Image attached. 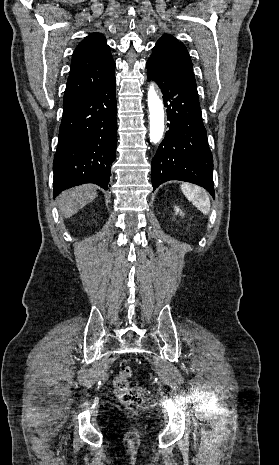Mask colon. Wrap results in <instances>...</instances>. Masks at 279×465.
<instances>
[{
	"label": "colon",
	"mask_w": 279,
	"mask_h": 465,
	"mask_svg": "<svg viewBox=\"0 0 279 465\" xmlns=\"http://www.w3.org/2000/svg\"><path fill=\"white\" fill-rule=\"evenodd\" d=\"M132 376L131 368L122 364L118 376L114 379V389L120 402L130 410H136L143 404V398L139 388L130 385Z\"/></svg>",
	"instance_id": "colon-1"
}]
</instances>
